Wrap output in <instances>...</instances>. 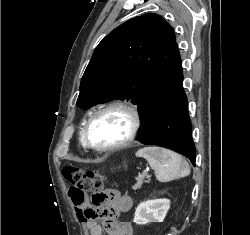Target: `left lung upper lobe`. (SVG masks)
Masks as SVG:
<instances>
[{"instance_id": "1", "label": "left lung upper lobe", "mask_w": 250, "mask_h": 235, "mask_svg": "<svg viewBox=\"0 0 250 235\" xmlns=\"http://www.w3.org/2000/svg\"><path fill=\"white\" fill-rule=\"evenodd\" d=\"M175 42L172 27L158 14L124 22L96 47L76 105L90 108L114 99L138 104Z\"/></svg>"}]
</instances>
